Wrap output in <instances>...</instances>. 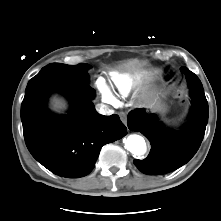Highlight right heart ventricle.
Masks as SVG:
<instances>
[{
	"instance_id": "right-heart-ventricle-1",
	"label": "right heart ventricle",
	"mask_w": 221,
	"mask_h": 221,
	"mask_svg": "<svg viewBox=\"0 0 221 221\" xmlns=\"http://www.w3.org/2000/svg\"><path fill=\"white\" fill-rule=\"evenodd\" d=\"M135 77L128 74H112V85L119 95L128 96L134 87Z\"/></svg>"
}]
</instances>
